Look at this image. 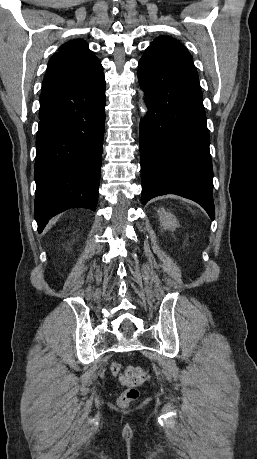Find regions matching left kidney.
<instances>
[{
    "mask_svg": "<svg viewBox=\"0 0 257 459\" xmlns=\"http://www.w3.org/2000/svg\"><path fill=\"white\" fill-rule=\"evenodd\" d=\"M157 212L159 215L160 224L164 229L173 231L179 226L177 219L173 214L167 212L163 208L159 209Z\"/></svg>",
    "mask_w": 257,
    "mask_h": 459,
    "instance_id": "left-kidney-1",
    "label": "left kidney"
}]
</instances>
